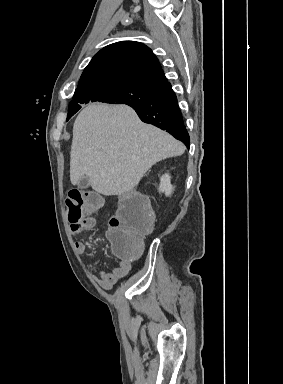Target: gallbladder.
<instances>
[{
  "label": "gallbladder",
  "mask_w": 283,
  "mask_h": 384,
  "mask_svg": "<svg viewBox=\"0 0 283 384\" xmlns=\"http://www.w3.org/2000/svg\"><path fill=\"white\" fill-rule=\"evenodd\" d=\"M77 186L78 188H80V190L83 188H88L89 186V180L88 178H81V180H79V182H77Z\"/></svg>",
  "instance_id": "bac80fb5"
}]
</instances>
